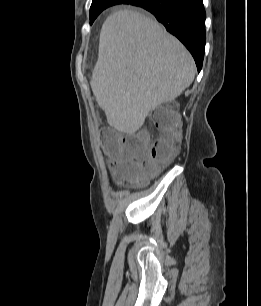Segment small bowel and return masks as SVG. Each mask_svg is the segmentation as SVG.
I'll return each mask as SVG.
<instances>
[{
    "mask_svg": "<svg viewBox=\"0 0 261 306\" xmlns=\"http://www.w3.org/2000/svg\"><path fill=\"white\" fill-rule=\"evenodd\" d=\"M123 165H130L136 169L141 168V164L137 161H129L125 157H118L111 162V168L117 174V169Z\"/></svg>",
    "mask_w": 261,
    "mask_h": 306,
    "instance_id": "small-bowel-1",
    "label": "small bowel"
}]
</instances>
